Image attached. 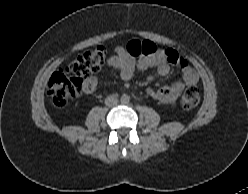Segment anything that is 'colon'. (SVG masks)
Returning <instances> with one entry per match:
<instances>
[{"label": "colon", "mask_w": 248, "mask_h": 194, "mask_svg": "<svg viewBox=\"0 0 248 194\" xmlns=\"http://www.w3.org/2000/svg\"><path fill=\"white\" fill-rule=\"evenodd\" d=\"M127 49L132 56L152 55L159 50L150 41H131ZM166 61L172 65L181 62V57L172 50H166ZM106 61L104 47L99 46L76 57L71 63L56 71L50 78L47 93L53 104L64 107L78 96L85 79L99 72ZM200 101V93L194 86L188 87L181 95L180 102L185 110L195 108Z\"/></svg>", "instance_id": "5ec220e1"}]
</instances>
